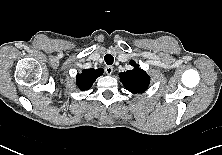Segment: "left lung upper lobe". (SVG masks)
Segmentation results:
<instances>
[{"instance_id": "1", "label": "left lung upper lobe", "mask_w": 222, "mask_h": 155, "mask_svg": "<svg viewBox=\"0 0 222 155\" xmlns=\"http://www.w3.org/2000/svg\"><path fill=\"white\" fill-rule=\"evenodd\" d=\"M130 65L134 69L119 73L121 82L133 94L145 92L150 84V77L135 61L131 60Z\"/></svg>"}]
</instances>
